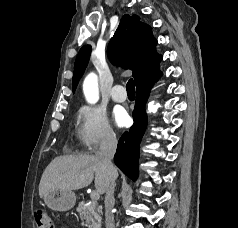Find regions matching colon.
Listing matches in <instances>:
<instances>
[{"label": "colon", "mask_w": 238, "mask_h": 228, "mask_svg": "<svg viewBox=\"0 0 238 228\" xmlns=\"http://www.w3.org/2000/svg\"><path fill=\"white\" fill-rule=\"evenodd\" d=\"M35 222L37 228H54V224L49 212L45 209H37L35 212Z\"/></svg>", "instance_id": "obj_1"}]
</instances>
